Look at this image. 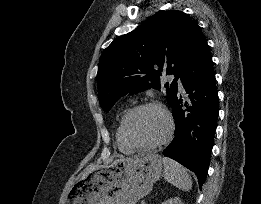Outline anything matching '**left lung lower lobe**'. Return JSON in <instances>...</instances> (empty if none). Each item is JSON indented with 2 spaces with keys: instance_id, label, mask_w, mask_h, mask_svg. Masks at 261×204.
I'll list each match as a JSON object with an SVG mask.
<instances>
[{
  "instance_id": "left-lung-lower-lobe-1",
  "label": "left lung lower lobe",
  "mask_w": 261,
  "mask_h": 204,
  "mask_svg": "<svg viewBox=\"0 0 261 204\" xmlns=\"http://www.w3.org/2000/svg\"><path fill=\"white\" fill-rule=\"evenodd\" d=\"M179 77L189 96L184 102L177 91L170 105L175 137L163 154L196 173L202 187L209 168L219 105L212 56L201 30L193 40Z\"/></svg>"
}]
</instances>
